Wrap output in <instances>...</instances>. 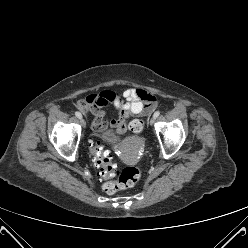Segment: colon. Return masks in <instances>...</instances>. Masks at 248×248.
I'll return each mask as SVG.
<instances>
[{
  "label": "colon",
  "instance_id": "colon-1",
  "mask_svg": "<svg viewBox=\"0 0 248 248\" xmlns=\"http://www.w3.org/2000/svg\"><path fill=\"white\" fill-rule=\"evenodd\" d=\"M82 111L86 112L90 108V104L87 101H82L79 104ZM143 129L142 120H134L130 124V130L134 133H139ZM91 153L96 165L100 169V176L105 179L113 178L118 175L116 171V165L114 164L112 158L109 156L104 147L98 143H92ZM141 175L140 169L135 166L125 167L119 174L118 181L116 182H106L103 185V190L112 194L119 189H125L134 186L139 180Z\"/></svg>",
  "mask_w": 248,
  "mask_h": 248
}]
</instances>
